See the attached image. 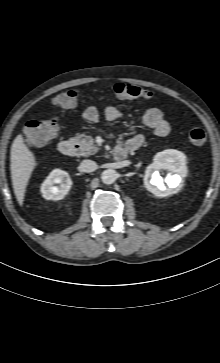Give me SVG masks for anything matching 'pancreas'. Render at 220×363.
<instances>
[{"mask_svg": "<svg viewBox=\"0 0 220 363\" xmlns=\"http://www.w3.org/2000/svg\"><path fill=\"white\" fill-rule=\"evenodd\" d=\"M74 141L80 146L82 156L88 157L98 151L91 136L79 134L74 138Z\"/></svg>", "mask_w": 220, "mask_h": 363, "instance_id": "cf45deb5", "label": "pancreas"}]
</instances>
